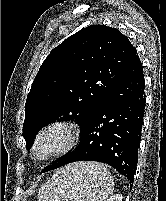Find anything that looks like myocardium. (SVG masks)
Here are the masks:
<instances>
[{
    "label": "myocardium",
    "mask_w": 166,
    "mask_h": 201,
    "mask_svg": "<svg viewBox=\"0 0 166 201\" xmlns=\"http://www.w3.org/2000/svg\"><path fill=\"white\" fill-rule=\"evenodd\" d=\"M55 130L64 133L65 141L63 145L52 151H43L41 148L42 142L49 133ZM78 139L79 130L75 124L61 120L52 121L37 132L31 148L32 158L38 162H47L62 157L76 146Z\"/></svg>",
    "instance_id": "obj_1"
}]
</instances>
